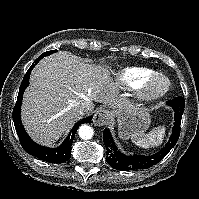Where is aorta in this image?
Masks as SVG:
<instances>
[{"instance_id": "obj_1", "label": "aorta", "mask_w": 199, "mask_h": 199, "mask_svg": "<svg viewBox=\"0 0 199 199\" xmlns=\"http://www.w3.org/2000/svg\"><path fill=\"white\" fill-rule=\"evenodd\" d=\"M79 136L81 139L83 140H87L92 138L94 131L92 129V127L88 126V125H82L79 130H78Z\"/></svg>"}]
</instances>
